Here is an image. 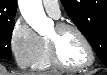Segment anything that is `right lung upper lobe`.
<instances>
[{"mask_svg": "<svg viewBox=\"0 0 107 75\" xmlns=\"http://www.w3.org/2000/svg\"><path fill=\"white\" fill-rule=\"evenodd\" d=\"M16 10V0H0V22L14 21Z\"/></svg>", "mask_w": 107, "mask_h": 75, "instance_id": "obj_1", "label": "right lung upper lobe"}]
</instances>
